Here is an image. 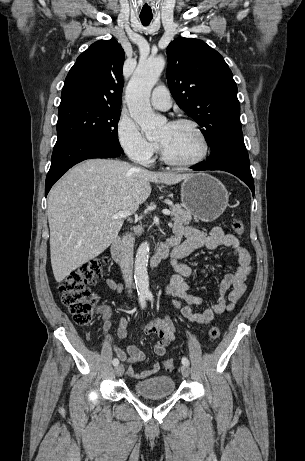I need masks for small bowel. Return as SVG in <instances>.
I'll return each instance as SVG.
<instances>
[{"label":"small bowel","mask_w":305,"mask_h":461,"mask_svg":"<svg viewBox=\"0 0 305 461\" xmlns=\"http://www.w3.org/2000/svg\"><path fill=\"white\" fill-rule=\"evenodd\" d=\"M173 233L179 239L185 236L187 240L172 250L171 264L175 274L166 287L165 295L175 298L171 307L180 310L182 316L188 321L196 324H209L216 315L232 311L246 292L245 281L251 271V256L234 235L225 233L220 227H213L207 232L193 226L176 223L173 227ZM202 248L210 250L227 248L229 249L228 256L237 258V265L235 270L227 274L221 282L217 300L203 311L195 312L193 307L199 305L202 300L190 293V286L186 281L187 278L194 275V271L179 260ZM107 285L112 289L122 291V286L113 279H108ZM227 291L230 292L226 297ZM99 311L104 320V332L108 336L111 329V309L104 305L99 308ZM127 325V318H121L117 328V335L120 339L126 337ZM145 331L157 338L154 346L155 354L160 357L164 356L168 345L175 340L176 328L170 315L167 314L164 319L154 318L147 324ZM113 350L121 361L130 364L143 362L146 359L145 352L133 344L126 345L125 351L114 344ZM160 368V363L154 361L151 368L146 371H135L129 367L127 373L134 379H144L155 375Z\"/></svg>","instance_id":"1"}]
</instances>
